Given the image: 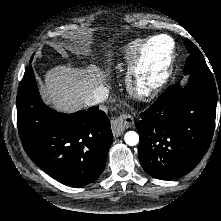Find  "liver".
Listing matches in <instances>:
<instances>
[{
	"label": "liver",
	"instance_id": "1",
	"mask_svg": "<svg viewBox=\"0 0 221 221\" xmlns=\"http://www.w3.org/2000/svg\"><path fill=\"white\" fill-rule=\"evenodd\" d=\"M105 77L93 64L84 69L59 65L47 71L43 97L58 111L71 113L83 107L85 98L104 84Z\"/></svg>",
	"mask_w": 221,
	"mask_h": 221
}]
</instances>
